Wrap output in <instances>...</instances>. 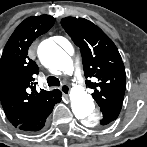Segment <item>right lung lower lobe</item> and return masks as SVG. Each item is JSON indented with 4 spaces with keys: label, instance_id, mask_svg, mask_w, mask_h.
Listing matches in <instances>:
<instances>
[{
    "label": "right lung lower lobe",
    "instance_id": "obj_1",
    "mask_svg": "<svg viewBox=\"0 0 147 147\" xmlns=\"http://www.w3.org/2000/svg\"><path fill=\"white\" fill-rule=\"evenodd\" d=\"M61 101V92H57V95L54 98V101L48 105L44 110H42L38 115L28 120L27 122L17 126L18 129L28 132L39 131L41 130L47 117L51 114L54 105Z\"/></svg>",
    "mask_w": 147,
    "mask_h": 147
}]
</instances>
